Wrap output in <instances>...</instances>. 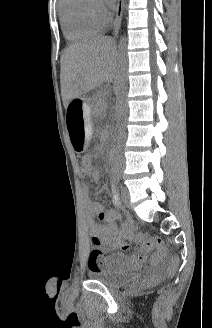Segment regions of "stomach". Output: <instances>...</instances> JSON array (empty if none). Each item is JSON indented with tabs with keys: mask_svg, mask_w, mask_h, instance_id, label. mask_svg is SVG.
<instances>
[{
	"mask_svg": "<svg viewBox=\"0 0 212 328\" xmlns=\"http://www.w3.org/2000/svg\"><path fill=\"white\" fill-rule=\"evenodd\" d=\"M64 127L76 152L86 149L89 141L90 102H67Z\"/></svg>",
	"mask_w": 212,
	"mask_h": 328,
	"instance_id": "1",
	"label": "stomach"
}]
</instances>
